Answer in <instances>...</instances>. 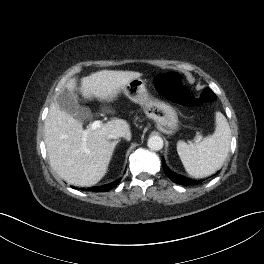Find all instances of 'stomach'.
Instances as JSON below:
<instances>
[{
	"label": "stomach",
	"instance_id": "0dacf381",
	"mask_svg": "<svg viewBox=\"0 0 264 264\" xmlns=\"http://www.w3.org/2000/svg\"><path fill=\"white\" fill-rule=\"evenodd\" d=\"M120 91L132 102L139 104L145 115L156 124L169 131L178 129L179 121L175 109L171 105L150 96L145 81L141 78L132 79Z\"/></svg>",
	"mask_w": 264,
	"mask_h": 264
}]
</instances>
